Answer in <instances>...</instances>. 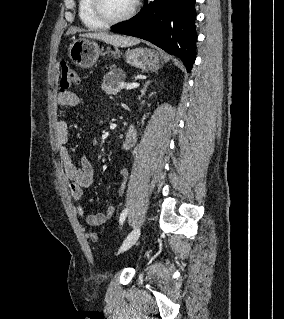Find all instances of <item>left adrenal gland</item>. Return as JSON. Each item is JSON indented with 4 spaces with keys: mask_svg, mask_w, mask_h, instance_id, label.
<instances>
[{
    "mask_svg": "<svg viewBox=\"0 0 284 319\" xmlns=\"http://www.w3.org/2000/svg\"><path fill=\"white\" fill-rule=\"evenodd\" d=\"M151 83V80L146 81L144 87L141 90V94L139 95V100H141V98L145 95L146 91H147V87L148 85Z\"/></svg>",
    "mask_w": 284,
    "mask_h": 319,
    "instance_id": "left-adrenal-gland-1",
    "label": "left adrenal gland"
}]
</instances>
